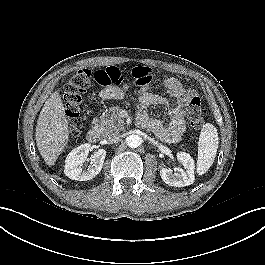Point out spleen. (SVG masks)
Listing matches in <instances>:
<instances>
[{
  "label": "spleen",
  "instance_id": "obj_1",
  "mask_svg": "<svg viewBox=\"0 0 265 265\" xmlns=\"http://www.w3.org/2000/svg\"><path fill=\"white\" fill-rule=\"evenodd\" d=\"M218 140L217 129L214 125L206 123L201 130L198 142V175H203L212 166L218 149Z\"/></svg>",
  "mask_w": 265,
  "mask_h": 265
}]
</instances>
